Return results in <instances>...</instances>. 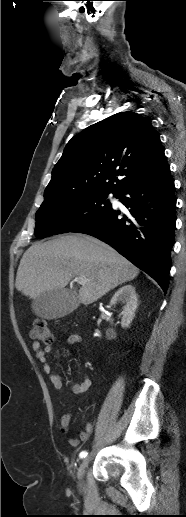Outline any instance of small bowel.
<instances>
[{"instance_id":"obj_1","label":"small bowel","mask_w":186,"mask_h":517,"mask_svg":"<svg viewBox=\"0 0 186 517\" xmlns=\"http://www.w3.org/2000/svg\"><path fill=\"white\" fill-rule=\"evenodd\" d=\"M81 336L76 333H72L67 337V343L70 346H76L80 344ZM52 347L47 345L42 347L41 344L37 341L32 343V350L35 353L36 358L43 364V369L45 372L49 373V379L54 389L61 392L63 390L64 384L59 374L51 372V366L47 362L46 354L51 351ZM92 384L91 379L88 376H85L80 383H76L71 385V391L75 394H80L86 392ZM72 419V413L67 412L64 413L60 420L61 431L63 433H67L69 430V426ZM94 430V424L89 422L86 424L85 429L80 432L79 437H69L68 443L72 447H77L80 442L86 441L89 439L90 435Z\"/></svg>"}]
</instances>
